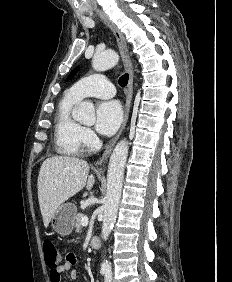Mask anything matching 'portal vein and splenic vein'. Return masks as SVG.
Segmentation results:
<instances>
[{
    "label": "portal vein and splenic vein",
    "mask_w": 232,
    "mask_h": 282,
    "mask_svg": "<svg viewBox=\"0 0 232 282\" xmlns=\"http://www.w3.org/2000/svg\"><path fill=\"white\" fill-rule=\"evenodd\" d=\"M81 224L83 226H87L88 225V217L87 216H84L82 219H81Z\"/></svg>",
    "instance_id": "obj_1"
}]
</instances>
